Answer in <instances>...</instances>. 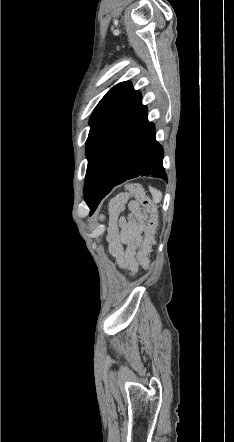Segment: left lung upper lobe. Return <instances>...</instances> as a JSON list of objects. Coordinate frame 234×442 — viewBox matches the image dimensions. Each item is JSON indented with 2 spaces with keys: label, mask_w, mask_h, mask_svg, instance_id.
I'll return each instance as SVG.
<instances>
[{
  "label": "left lung upper lobe",
  "mask_w": 234,
  "mask_h": 442,
  "mask_svg": "<svg viewBox=\"0 0 234 442\" xmlns=\"http://www.w3.org/2000/svg\"><path fill=\"white\" fill-rule=\"evenodd\" d=\"M132 88V84L128 81L122 82L111 88L96 106L90 118V134L100 124L102 120L118 105L123 97Z\"/></svg>",
  "instance_id": "left-lung-upper-lobe-1"
}]
</instances>
